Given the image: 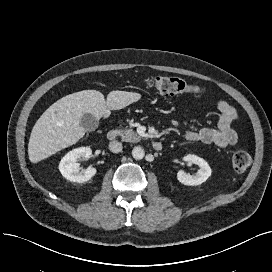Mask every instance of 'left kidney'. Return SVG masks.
I'll use <instances>...</instances> for the list:
<instances>
[{
	"label": "left kidney",
	"mask_w": 272,
	"mask_h": 272,
	"mask_svg": "<svg viewBox=\"0 0 272 272\" xmlns=\"http://www.w3.org/2000/svg\"><path fill=\"white\" fill-rule=\"evenodd\" d=\"M183 160L188 163L196 164L199 169L195 175H190L189 173L180 170L177 173V178L180 183L187 186H197L205 182L211 176V168L203 158L194 154H188Z\"/></svg>",
	"instance_id": "left-kidney-1"
}]
</instances>
